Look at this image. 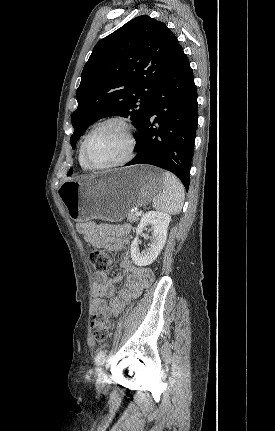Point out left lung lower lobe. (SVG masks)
Returning <instances> with one entry per match:
<instances>
[{"label":"left lung lower lobe","mask_w":275,"mask_h":431,"mask_svg":"<svg viewBox=\"0 0 275 431\" xmlns=\"http://www.w3.org/2000/svg\"><path fill=\"white\" fill-rule=\"evenodd\" d=\"M197 108L193 72L181 47L135 138L138 153L125 166L150 164L161 167L174 173L188 190L198 124Z\"/></svg>","instance_id":"0a47b994"}]
</instances>
